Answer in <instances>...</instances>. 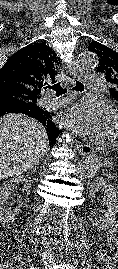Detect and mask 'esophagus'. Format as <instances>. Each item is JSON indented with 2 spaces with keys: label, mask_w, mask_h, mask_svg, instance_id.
<instances>
[{
  "label": "esophagus",
  "mask_w": 118,
  "mask_h": 269,
  "mask_svg": "<svg viewBox=\"0 0 118 269\" xmlns=\"http://www.w3.org/2000/svg\"><path fill=\"white\" fill-rule=\"evenodd\" d=\"M74 71H75L78 78L83 77V75H84L83 71L78 70L77 68H74ZM77 149H78L79 154H81V155H89L90 153L93 152V147L89 144L80 143L77 146Z\"/></svg>",
  "instance_id": "1"
}]
</instances>
